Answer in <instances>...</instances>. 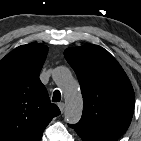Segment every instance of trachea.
<instances>
[{
  "label": "trachea",
  "instance_id": "3493384b",
  "mask_svg": "<svg viewBox=\"0 0 141 141\" xmlns=\"http://www.w3.org/2000/svg\"><path fill=\"white\" fill-rule=\"evenodd\" d=\"M60 100H61V93L59 90H55L52 97V102H59Z\"/></svg>",
  "mask_w": 141,
  "mask_h": 141
}]
</instances>
